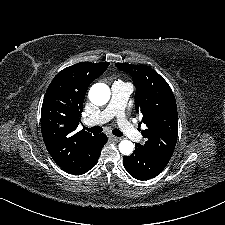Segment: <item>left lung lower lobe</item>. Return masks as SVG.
<instances>
[{
    "label": "left lung lower lobe",
    "mask_w": 225,
    "mask_h": 225,
    "mask_svg": "<svg viewBox=\"0 0 225 225\" xmlns=\"http://www.w3.org/2000/svg\"><path fill=\"white\" fill-rule=\"evenodd\" d=\"M169 160L170 158L150 152L140 144L135 145L133 154L123 157L124 168L138 180H148L157 176Z\"/></svg>",
    "instance_id": "left-lung-lower-lobe-1"
}]
</instances>
